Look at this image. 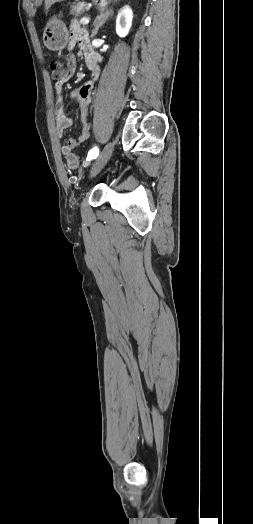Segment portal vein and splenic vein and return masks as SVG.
I'll list each match as a JSON object with an SVG mask.
<instances>
[{"instance_id": "obj_1", "label": "portal vein and splenic vein", "mask_w": 253, "mask_h": 524, "mask_svg": "<svg viewBox=\"0 0 253 524\" xmlns=\"http://www.w3.org/2000/svg\"><path fill=\"white\" fill-rule=\"evenodd\" d=\"M89 21H90V19L87 18V17H83V18L80 19V23L82 25H87L89 23Z\"/></svg>"}]
</instances>
